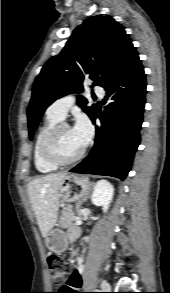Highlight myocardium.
<instances>
[{
	"label": "myocardium",
	"instance_id": "1",
	"mask_svg": "<svg viewBox=\"0 0 170 293\" xmlns=\"http://www.w3.org/2000/svg\"><path fill=\"white\" fill-rule=\"evenodd\" d=\"M63 128H70V126L66 122H59L56 125H54L46 134L42 144V155L44 159L48 161L49 163L57 165V166L72 164L78 161L79 159H81L83 155L85 154V147H82L79 153H77L75 156L68 159H63L57 155L55 151L56 139H57L58 133Z\"/></svg>",
	"mask_w": 170,
	"mask_h": 293
}]
</instances>
